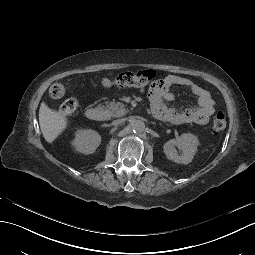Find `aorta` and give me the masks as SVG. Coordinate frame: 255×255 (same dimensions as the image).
Wrapping results in <instances>:
<instances>
[{
	"label": "aorta",
	"mask_w": 255,
	"mask_h": 255,
	"mask_svg": "<svg viewBox=\"0 0 255 255\" xmlns=\"http://www.w3.org/2000/svg\"><path fill=\"white\" fill-rule=\"evenodd\" d=\"M132 130L136 133H142L145 130V123L142 120H135L131 124Z\"/></svg>",
	"instance_id": "1"
}]
</instances>
